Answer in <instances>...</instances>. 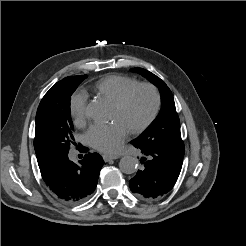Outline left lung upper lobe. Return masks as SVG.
Listing matches in <instances>:
<instances>
[{"mask_svg": "<svg viewBox=\"0 0 246 246\" xmlns=\"http://www.w3.org/2000/svg\"><path fill=\"white\" fill-rule=\"evenodd\" d=\"M158 87L161 94V110L148 130L140 137L131 141L139 147H162L169 150L184 152L181 139L180 121L175 108L172 92L168 86L156 75L142 68H133Z\"/></svg>", "mask_w": 246, "mask_h": 246, "instance_id": "5c2ea615", "label": "left lung upper lobe"}]
</instances>
